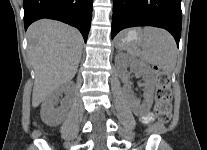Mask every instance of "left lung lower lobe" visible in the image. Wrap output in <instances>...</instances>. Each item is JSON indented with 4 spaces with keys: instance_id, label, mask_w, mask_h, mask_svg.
Masks as SVG:
<instances>
[{
    "instance_id": "left-lung-lower-lobe-1",
    "label": "left lung lower lobe",
    "mask_w": 207,
    "mask_h": 150,
    "mask_svg": "<svg viewBox=\"0 0 207 150\" xmlns=\"http://www.w3.org/2000/svg\"><path fill=\"white\" fill-rule=\"evenodd\" d=\"M181 25V0H113L112 38L124 28L155 26L168 30L179 47Z\"/></svg>"
}]
</instances>
